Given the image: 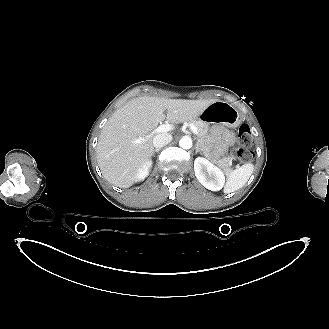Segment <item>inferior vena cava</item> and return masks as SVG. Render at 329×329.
Returning a JSON list of instances; mask_svg holds the SVG:
<instances>
[{"mask_svg": "<svg viewBox=\"0 0 329 329\" xmlns=\"http://www.w3.org/2000/svg\"><path fill=\"white\" fill-rule=\"evenodd\" d=\"M172 141V135L169 133H160L153 138V145L155 148H162Z\"/></svg>", "mask_w": 329, "mask_h": 329, "instance_id": "1", "label": "inferior vena cava"}]
</instances>
